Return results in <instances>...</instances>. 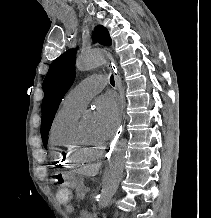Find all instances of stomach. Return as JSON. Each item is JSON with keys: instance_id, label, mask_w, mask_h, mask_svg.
<instances>
[{"instance_id": "1", "label": "stomach", "mask_w": 211, "mask_h": 218, "mask_svg": "<svg viewBox=\"0 0 211 218\" xmlns=\"http://www.w3.org/2000/svg\"><path fill=\"white\" fill-rule=\"evenodd\" d=\"M64 185L70 188H77L81 185L82 180L74 173H69L63 176Z\"/></svg>"}]
</instances>
